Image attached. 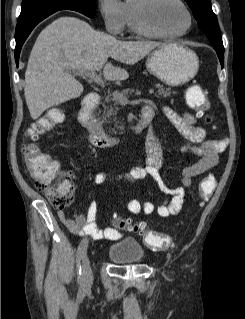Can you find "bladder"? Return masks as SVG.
Instances as JSON below:
<instances>
[{"instance_id": "obj_1", "label": "bladder", "mask_w": 245, "mask_h": 319, "mask_svg": "<svg viewBox=\"0 0 245 319\" xmlns=\"http://www.w3.org/2000/svg\"><path fill=\"white\" fill-rule=\"evenodd\" d=\"M110 261L117 264H138L144 259V251L134 238H119L107 251Z\"/></svg>"}]
</instances>
